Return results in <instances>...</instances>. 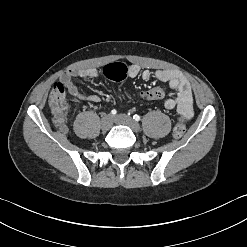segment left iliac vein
<instances>
[{"mask_svg":"<svg viewBox=\"0 0 247 247\" xmlns=\"http://www.w3.org/2000/svg\"><path fill=\"white\" fill-rule=\"evenodd\" d=\"M114 122L116 124L120 125H126L131 128L133 132H139L140 131V125L133 120L131 117L125 115V114H119L114 117Z\"/></svg>","mask_w":247,"mask_h":247,"instance_id":"left-iliac-vein-1","label":"left iliac vein"}]
</instances>
